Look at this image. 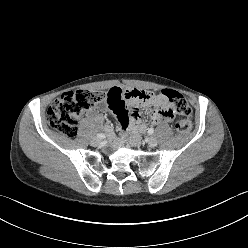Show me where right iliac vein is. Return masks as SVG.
I'll return each mask as SVG.
<instances>
[{
    "instance_id": "63e3f726",
    "label": "right iliac vein",
    "mask_w": 248,
    "mask_h": 248,
    "mask_svg": "<svg viewBox=\"0 0 248 248\" xmlns=\"http://www.w3.org/2000/svg\"><path fill=\"white\" fill-rule=\"evenodd\" d=\"M100 142H101V141H100L99 138H94V139L91 140V144H92L93 146L99 145Z\"/></svg>"
}]
</instances>
